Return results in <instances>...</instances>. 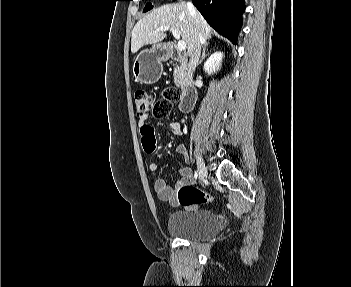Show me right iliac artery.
Listing matches in <instances>:
<instances>
[{"label":"right iliac artery","instance_id":"1","mask_svg":"<svg viewBox=\"0 0 351 287\" xmlns=\"http://www.w3.org/2000/svg\"><path fill=\"white\" fill-rule=\"evenodd\" d=\"M198 178V171H195L194 173V179H197Z\"/></svg>","mask_w":351,"mask_h":287}]
</instances>
